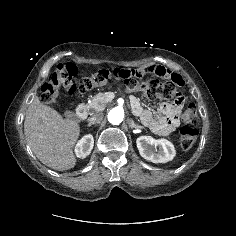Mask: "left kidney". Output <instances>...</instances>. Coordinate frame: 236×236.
<instances>
[{"label":"left kidney","instance_id":"obj_1","mask_svg":"<svg viewBox=\"0 0 236 236\" xmlns=\"http://www.w3.org/2000/svg\"><path fill=\"white\" fill-rule=\"evenodd\" d=\"M136 143L140 155L153 163H166L176 154L174 145L167 139L156 140L151 136H140Z\"/></svg>","mask_w":236,"mask_h":236}]
</instances>
